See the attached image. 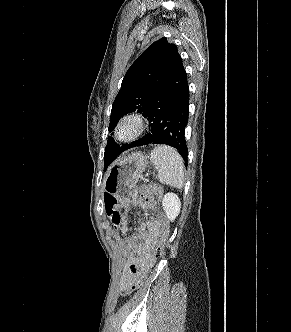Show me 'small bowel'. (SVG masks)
<instances>
[{"instance_id":"c3829d8e","label":"small bowel","mask_w":291,"mask_h":332,"mask_svg":"<svg viewBox=\"0 0 291 332\" xmlns=\"http://www.w3.org/2000/svg\"><path fill=\"white\" fill-rule=\"evenodd\" d=\"M129 231L128 225L124 222L121 228L123 234ZM161 224L157 220H151L142 224L125 240V246L130 250V256L126 267L123 281L127 287L133 277V269L143 265L150 257L152 250L159 240Z\"/></svg>"}]
</instances>
